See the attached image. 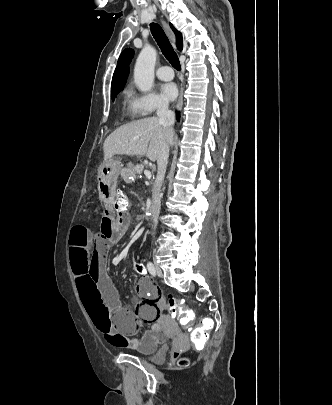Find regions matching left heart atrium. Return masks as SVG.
<instances>
[{
  "label": "left heart atrium",
  "instance_id": "left-heart-atrium-1",
  "mask_svg": "<svg viewBox=\"0 0 332 405\" xmlns=\"http://www.w3.org/2000/svg\"><path fill=\"white\" fill-rule=\"evenodd\" d=\"M161 93L167 100H174L178 95L177 86L174 83H166L161 86Z\"/></svg>",
  "mask_w": 332,
  "mask_h": 405
}]
</instances>
